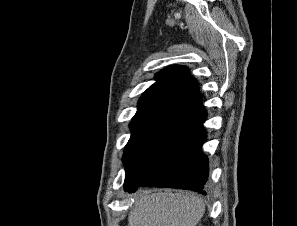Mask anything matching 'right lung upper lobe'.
Segmentation results:
<instances>
[{
	"mask_svg": "<svg viewBox=\"0 0 297 226\" xmlns=\"http://www.w3.org/2000/svg\"><path fill=\"white\" fill-rule=\"evenodd\" d=\"M157 82L141 96L132 120H169L201 101L197 81L184 66H170L156 74Z\"/></svg>",
	"mask_w": 297,
	"mask_h": 226,
	"instance_id": "right-lung-upper-lobe-1",
	"label": "right lung upper lobe"
}]
</instances>
